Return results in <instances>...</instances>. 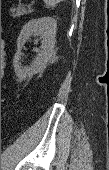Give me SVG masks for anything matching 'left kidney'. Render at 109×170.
Instances as JSON below:
<instances>
[{
  "label": "left kidney",
  "instance_id": "1",
  "mask_svg": "<svg viewBox=\"0 0 109 170\" xmlns=\"http://www.w3.org/2000/svg\"><path fill=\"white\" fill-rule=\"evenodd\" d=\"M57 21L52 17L32 19L26 23L17 39V51L13 59L14 70L19 76L36 74L43 70L51 59L56 42ZM31 37H40L41 47L35 49L37 56L29 66L21 62L22 48Z\"/></svg>",
  "mask_w": 109,
  "mask_h": 170
}]
</instances>
